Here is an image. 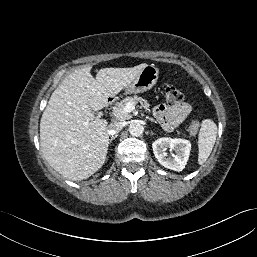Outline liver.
Masks as SVG:
<instances>
[{
    "instance_id": "obj_1",
    "label": "liver",
    "mask_w": 257,
    "mask_h": 257,
    "mask_svg": "<svg viewBox=\"0 0 257 257\" xmlns=\"http://www.w3.org/2000/svg\"><path fill=\"white\" fill-rule=\"evenodd\" d=\"M103 68L93 78L91 66L70 73L52 93L40 121V145L50 166L63 177L87 179L106 160L107 121L92 110L103 109L146 67Z\"/></svg>"
}]
</instances>
